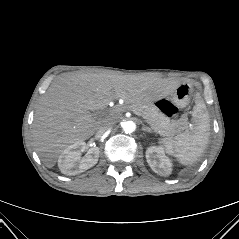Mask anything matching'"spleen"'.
Wrapping results in <instances>:
<instances>
[{
	"label": "spleen",
	"mask_w": 239,
	"mask_h": 239,
	"mask_svg": "<svg viewBox=\"0 0 239 239\" xmlns=\"http://www.w3.org/2000/svg\"><path fill=\"white\" fill-rule=\"evenodd\" d=\"M193 124L189 131H185L174 138L160 140L163 149L173 155L182 165H191L203 154L210 136V120L206 105L197 95L192 112Z\"/></svg>",
	"instance_id": "3e777b00"
}]
</instances>
